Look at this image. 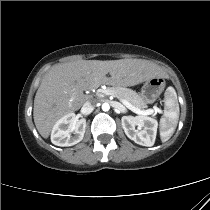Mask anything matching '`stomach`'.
Masks as SVG:
<instances>
[{"label": "stomach", "instance_id": "0dacf381", "mask_svg": "<svg viewBox=\"0 0 210 210\" xmlns=\"http://www.w3.org/2000/svg\"><path fill=\"white\" fill-rule=\"evenodd\" d=\"M165 88V81L161 77L146 80L141 89V98L146 104L156 101Z\"/></svg>", "mask_w": 210, "mask_h": 210}]
</instances>
